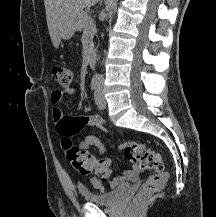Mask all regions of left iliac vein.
<instances>
[{"label":"left iliac vein","mask_w":216,"mask_h":217,"mask_svg":"<svg viewBox=\"0 0 216 217\" xmlns=\"http://www.w3.org/2000/svg\"><path fill=\"white\" fill-rule=\"evenodd\" d=\"M94 97H95V103L98 106V108L104 109L106 107V100L104 97L103 87L101 83L98 84Z\"/></svg>","instance_id":"obj_1"}]
</instances>
